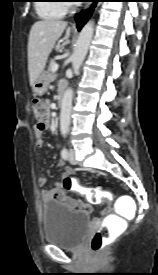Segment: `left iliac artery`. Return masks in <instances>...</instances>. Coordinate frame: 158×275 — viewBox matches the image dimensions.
Listing matches in <instances>:
<instances>
[{"label":"left iliac artery","mask_w":158,"mask_h":275,"mask_svg":"<svg viewBox=\"0 0 158 275\" xmlns=\"http://www.w3.org/2000/svg\"><path fill=\"white\" fill-rule=\"evenodd\" d=\"M66 134H67V132H63V136L64 137H66ZM61 156H62V158L63 159H67V157H68V151H67V149L64 147L63 149H62V151H61Z\"/></svg>","instance_id":"44dca946"}]
</instances>
